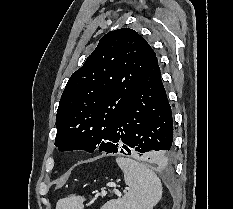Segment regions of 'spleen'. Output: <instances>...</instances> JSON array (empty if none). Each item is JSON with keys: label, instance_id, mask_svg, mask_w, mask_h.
Returning <instances> with one entry per match:
<instances>
[{"label": "spleen", "instance_id": "3e777b00", "mask_svg": "<svg viewBox=\"0 0 233 209\" xmlns=\"http://www.w3.org/2000/svg\"><path fill=\"white\" fill-rule=\"evenodd\" d=\"M129 191L118 200H110L101 209H153L162 197L158 176L144 164L130 158L118 157ZM84 198L70 195L57 202L56 209H83Z\"/></svg>", "mask_w": 233, "mask_h": 209}]
</instances>
